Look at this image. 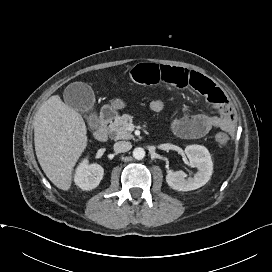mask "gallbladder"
Here are the masks:
<instances>
[{
  "label": "gallbladder",
  "instance_id": "bac80fb5",
  "mask_svg": "<svg viewBox=\"0 0 272 272\" xmlns=\"http://www.w3.org/2000/svg\"><path fill=\"white\" fill-rule=\"evenodd\" d=\"M63 98L65 103L72 109L82 113H89L87 120L91 129L98 127V118L93 113L95 95L89 85L83 82L71 83L65 88Z\"/></svg>",
  "mask_w": 272,
  "mask_h": 272
}]
</instances>
